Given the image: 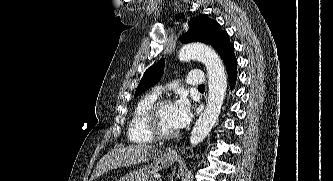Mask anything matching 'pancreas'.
Listing matches in <instances>:
<instances>
[{
    "mask_svg": "<svg viewBox=\"0 0 333 181\" xmlns=\"http://www.w3.org/2000/svg\"><path fill=\"white\" fill-rule=\"evenodd\" d=\"M153 181H160V180L157 179V180H153Z\"/></svg>",
    "mask_w": 333,
    "mask_h": 181,
    "instance_id": "cf45deb5",
    "label": "pancreas"
}]
</instances>
